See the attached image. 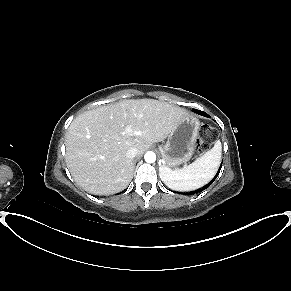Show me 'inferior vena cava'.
Returning a JSON list of instances; mask_svg holds the SVG:
<instances>
[{
  "label": "inferior vena cava",
  "instance_id": "inferior-vena-cava-1",
  "mask_svg": "<svg viewBox=\"0 0 291 291\" xmlns=\"http://www.w3.org/2000/svg\"><path fill=\"white\" fill-rule=\"evenodd\" d=\"M138 153V150L137 148L135 147H132L130 149L127 150L126 152V156L129 158V159H133Z\"/></svg>",
  "mask_w": 291,
  "mask_h": 291
}]
</instances>
